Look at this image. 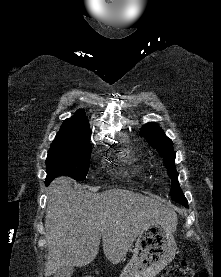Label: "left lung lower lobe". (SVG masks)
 I'll use <instances>...</instances> for the list:
<instances>
[{"label":"left lung lower lobe","instance_id":"obj_1","mask_svg":"<svg viewBox=\"0 0 221 277\" xmlns=\"http://www.w3.org/2000/svg\"><path fill=\"white\" fill-rule=\"evenodd\" d=\"M182 204H183L184 206L188 207L187 200H185Z\"/></svg>","mask_w":221,"mask_h":277}]
</instances>
